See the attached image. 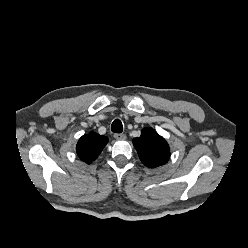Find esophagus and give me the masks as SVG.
Wrapping results in <instances>:
<instances>
[{
  "mask_svg": "<svg viewBox=\"0 0 248 248\" xmlns=\"http://www.w3.org/2000/svg\"><path fill=\"white\" fill-rule=\"evenodd\" d=\"M114 138L118 140H124L126 139V134L120 133V134H114Z\"/></svg>",
  "mask_w": 248,
  "mask_h": 248,
  "instance_id": "34e87169",
  "label": "esophagus"
}]
</instances>
